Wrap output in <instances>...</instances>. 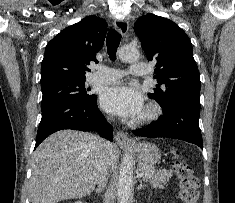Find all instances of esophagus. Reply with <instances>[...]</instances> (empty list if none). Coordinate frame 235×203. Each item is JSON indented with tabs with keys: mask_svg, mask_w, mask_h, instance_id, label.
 Returning <instances> with one entry per match:
<instances>
[{
	"mask_svg": "<svg viewBox=\"0 0 235 203\" xmlns=\"http://www.w3.org/2000/svg\"><path fill=\"white\" fill-rule=\"evenodd\" d=\"M114 27L123 37H125L129 30V23L127 20L116 19L114 21ZM115 140L119 146L132 145L131 139L124 131L121 130L116 132Z\"/></svg>",
	"mask_w": 235,
	"mask_h": 203,
	"instance_id": "obj_1",
	"label": "esophagus"
}]
</instances>
